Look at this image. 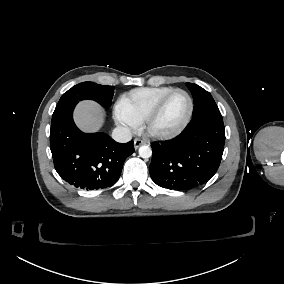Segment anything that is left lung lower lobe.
<instances>
[{
  "label": "left lung lower lobe",
  "instance_id": "obj_1",
  "mask_svg": "<svg viewBox=\"0 0 284 284\" xmlns=\"http://www.w3.org/2000/svg\"><path fill=\"white\" fill-rule=\"evenodd\" d=\"M225 129L219 110L193 117L176 138L152 144V180L177 191L199 187L216 173L224 150Z\"/></svg>",
  "mask_w": 284,
  "mask_h": 284
}]
</instances>
